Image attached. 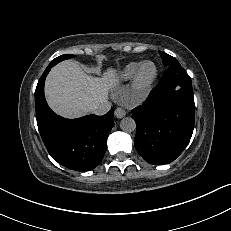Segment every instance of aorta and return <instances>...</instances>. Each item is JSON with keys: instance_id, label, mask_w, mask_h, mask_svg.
Returning <instances> with one entry per match:
<instances>
[{"instance_id": "aorta-1", "label": "aorta", "mask_w": 231, "mask_h": 231, "mask_svg": "<svg viewBox=\"0 0 231 231\" xmlns=\"http://www.w3.org/2000/svg\"><path fill=\"white\" fill-rule=\"evenodd\" d=\"M120 128L124 132L130 133L136 129V123L133 118L125 117L121 120Z\"/></svg>"}]
</instances>
